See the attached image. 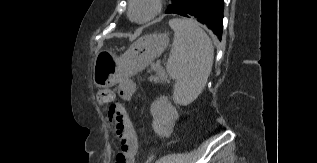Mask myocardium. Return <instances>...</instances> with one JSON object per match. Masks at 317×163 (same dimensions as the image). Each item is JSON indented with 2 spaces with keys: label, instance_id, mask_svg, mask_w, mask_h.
Returning <instances> with one entry per match:
<instances>
[{
  "label": "myocardium",
  "instance_id": "1",
  "mask_svg": "<svg viewBox=\"0 0 317 163\" xmlns=\"http://www.w3.org/2000/svg\"><path fill=\"white\" fill-rule=\"evenodd\" d=\"M136 0H130L129 1V8H128V16L129 18L138 23V24H145L148 23L150 21H152L153 19H155L162 11V7H163V3L162 0H152V4H153V9L152 12L145 18L143 19H135L133 17V7L135 5Z\"/></svg>",
  "mask_w": 317,
  "mask_h": 163
}]
</instances>
